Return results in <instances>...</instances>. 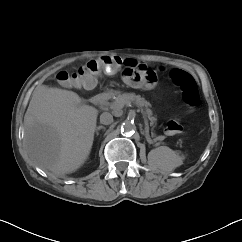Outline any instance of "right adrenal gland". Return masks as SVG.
Returning a JSON list of instances; mask_svg holds the SVG:
<instances>
[{
	"instance_id": "obj_1",
	"label": "right adrenal gland",
	"mask_w": 242,
	"mask_h": 242,
	"mask_svg": "<svg viewBox=\"0 0 242 242\" xmlns=\"http://www.w3.org/2000/svg\"><path fill=\"white\" fill-rule=\"evenodd\" d=\"M101 129H104V130H105V127H104V126H102V125H100V126L96 127V129H95V130H96L97 135L99 134V133H98V131H99V130H101Z\"/></svg>"
}]
</instances>
